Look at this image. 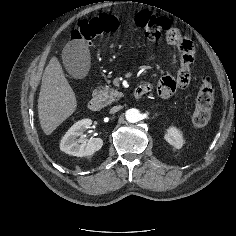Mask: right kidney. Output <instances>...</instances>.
I'll return each mask as SVG.
<instances>
[{"instance_id":"1","label":"right kidney","mask_w":236,"mask_h":236,"mask_svg":"<svg viewBox=\"0 0 236 236\" xmlns=\"http://www.w3.org/2000/svg\"><path fill=\"white\" fill-rule=\"evenodd\" d=\"M92 125L91 119H83L76 122L64 135L60 143V150L77 157H87L93 155L103 146V140L100 138H93L87 141L78 137L83 136ZM81 143V144H80Z\"/></svg>"}]
</instances>
